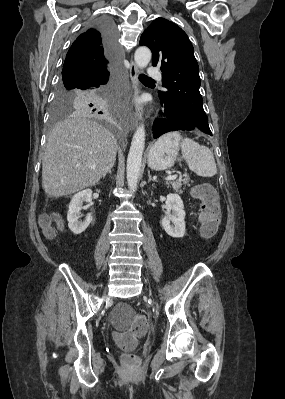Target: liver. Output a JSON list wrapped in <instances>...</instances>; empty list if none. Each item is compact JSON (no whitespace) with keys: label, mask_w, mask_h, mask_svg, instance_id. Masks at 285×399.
<instances>
[{"label":"liver","mask_w":285,"mask_h":399,"mask_svg":"<svg viewBox=\"0 0 285 399\" xmlns=\"http://www.w3.org/2000/svg\"><path fill=\"white\" fill-rule=\"evenodd\" d=\"M117 141L99 123L74 112L50 131L42 160V187L62 197L94 186L113 167Z\"/></svg>","instance_id":"1"}]
</instances>
